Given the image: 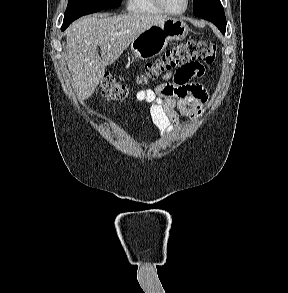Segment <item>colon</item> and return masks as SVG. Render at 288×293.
<instances>
[{
	"label": "colon",
	"instance_id": "1",
	"mask_svg": "<svg viewBox=\"0 0 288 293\" xmlns=\"http://www.w3.org/2000/svg\"><path fill=\"white\" fill-rule=\"evenodd\" d=\"M216 58V45L204 39H190L168 50L159 59L145 66L138 82L146 84L159 75L178 70L187 65L204 62L211 64ZM101 95L109 101H120L128 96V87L115 76L106 74L99 85Z\"/></svg>",
	"mask_w": 288,
	"mask_h": 293
}]
</instances>
